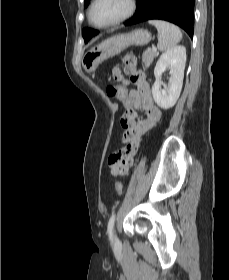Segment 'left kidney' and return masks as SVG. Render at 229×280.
I'll return each instance as SVG.
<instances>
[{"label":"left kidney","instance_id":"obj_1","mask_svg":"<svg viewBox=\"0 0 229 280\" xmlns=\"http://www.w3.org/2000/svg\"><path fill=\"white\" fill-rule=\"evenodd\" d=\"M186 64V49L184 46H175L165 51L159 58L154 69L156 78L152 86V95L155 103L162 109L173 107L181 93L184 69ZM169 69V86L161 89V75Z\"/></svg>","mask_w":229,"mask_h":280}]
</instances>
